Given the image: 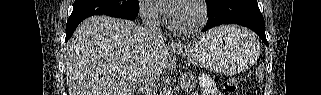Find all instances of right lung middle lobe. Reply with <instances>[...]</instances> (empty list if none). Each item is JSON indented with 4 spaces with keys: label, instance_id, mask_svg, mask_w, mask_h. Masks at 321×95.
<instances>
[{
    "label": "right lung middle lobe",
    "instance_id": "obj_1",
    "mask_svg": "<svg viewBox=\"0 0 321 95\" xmlns=\"http://www.w3.org/2000/svg\"><path fill=\"white\" fill-rule=\"evenodd\" d=\"M138 0H75L71 15L84 13L136 14Z\"/></svg>",
    "mask_w": 321,
    "mask_h": 95
}]
</instances>
